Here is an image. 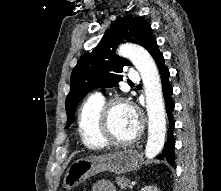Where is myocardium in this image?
I'll list each match as a JSON object with an SVG mask.
<instances>
[{"mask_svg": "<svg viewBox=\"0 0 221 191\" xmlns=\"http://www.w3.org/2000/svg\"><path fill=\"white\" fill-rule=\"evenodd\" d=\"M130 103L124 98H113L106 101L100 112V137L107 146L125 147L134 144L142 133V125L138 124L133 136L127 140H119L114 137L111 128V117L115 108L119 106L129 107Z\"/></svg>", "mask_w": 221, "mask_h": 191, "instance_id": "myocardium-1", "label": "myocardium"}]
</instances>
